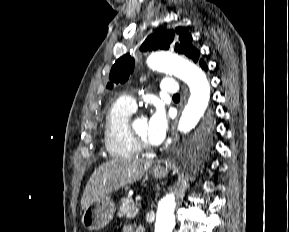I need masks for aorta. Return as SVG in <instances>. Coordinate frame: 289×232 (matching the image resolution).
I'll list each match as a JSON object with an SVG mask.
<instances>
[{
	"label": "aorta",
	"mask_w": 289,
	"mask_h": 232,
	"mask_svg": "<svg viewBox=\"0 0 289 232\" xmlns=\"http://www.w3.org/2000/svg\"><path fill=\"white\" fill-rule=\"evenodd\" d=\"M148 66L159 72L170 73L183 80L190 89V98L180 117V132L192 130L203 117L210 100V83L205 73L189 61L165 52H155L147 59ZM175 197L169 194L159 203L156 213L155 232H172L175 226Z\"/></svg>",
	"instance_id": "762f6f07"
}]
</instances>
